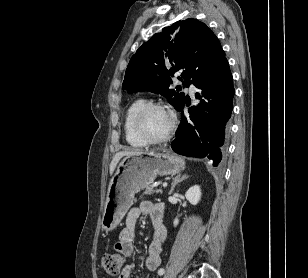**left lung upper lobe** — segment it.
<instances>
[{"mask_svg":"<svg viewBox=\"0 0 308 278\" xmlns=\"http://www.w3.org/2000/svg\"><path fill=\"white\" fill-rule=\"evenodd\" d=\"M224 59L220 41L206 24L191 18L180 20L153 35L136 51L126 69L123 89L128 93H159L178 109L185 95L169 88L172 77L179 73L178 79L189 87ZM180 90L178 86L177 91Z\"/></svg>","mask_w":308,"mask_h":278,"instance_id":"1","label":"left lung upper lobe"}]
</instances>
